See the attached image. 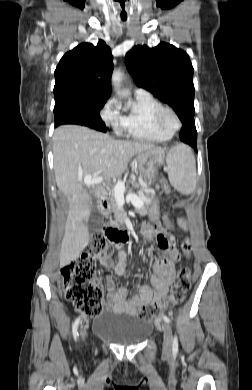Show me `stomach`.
Listing matches in <instances>:
<instances>
[{
	"label": "stomach",
	"mask_w": 252,
	"mask_h": 390,
	"mask_svg": "<svg viewBox=\"0 0 252 390\" xmlns=\"http://www.w3.org/2000/svg\"><path fill=\"white\" fill-rule=\"evenodd\" d=\"M165 152L152 149L141 152L136 157L138 170L152 183L155 180L158 168L164 163ZM148 217L151 221L159 218V204L155 200L148 207Z\"/></svg>",
	"instance_id": "0dacf381"
}]
</instances>
